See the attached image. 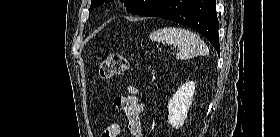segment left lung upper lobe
Instances as JSON below:
<instances>
[{
  "label": "left lung upper lobe",
  "instance_id": "obj_1",
  "mask_svg": "<svg viewBox=\"0 0 280 137\" xmlns=\"http://www.w3.org/2000/svg\"><path fill=\"white\" fill-rule=\"evenodd\" d=\"M112 0H92L90 9ZM125 2L127 11L131 14L143 15L161 0H123Z\"/></svg>",
  "mask_w": 280,
  "mask_h": 137
}]
</instances>
